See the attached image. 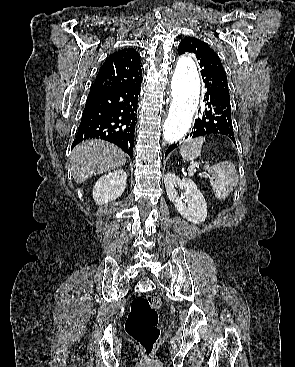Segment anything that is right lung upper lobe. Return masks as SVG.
Here are the masks:
<instances>
[{
	"label": "right lung upper lobe",
	"mask_w": 295,
	"mask_h": 367,
	"mask_svg": "<svg viewBox=\"0 0 295 367\" xmlns=\"http://www.w3.org/2000/svg\"><path fill=\"white\" fill-rule=\"evenodd\" d=\"M140 54L125 48L110 54L101 66L93 87L123 88L142 82Z\"/></svg>",
	"instance_id": "1"
}]
</instances>
